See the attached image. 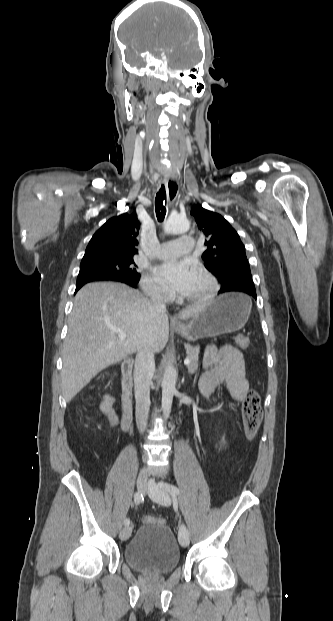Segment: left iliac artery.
<instances>
[{"mask_svg": "<svg viewBox=\"0 0 333 621\" xmlns=\"http://www.w3.org/2000/svg\"><path fill=\"white\" fill-rule=\"evenodd\" d=\"M158 485L165 489L167 492H169L172 496L175 495H179L180 494V490L173 484L167 483V482H160L158 483Z\"/></svg>", "mask_w": 333, "mask_h": 621, "instance_id": "44dca946", "label": "left iliac artery"}]
</instances>
